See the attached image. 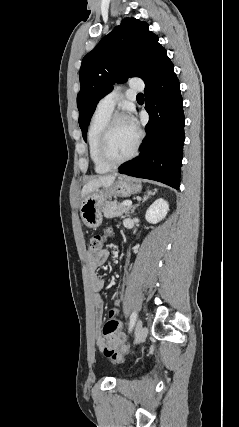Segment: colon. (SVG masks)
Returning a JSON list of instances; mask_svg holds the SVG:
<instances>
[{
    "mask_svg": "<svg viewBox=\"0 0 239 427\" xmlns=\"http://www.w3.org/2000/svg\"><path fill=\"white\" fill-rule=\"evenodd\" d=\"M106 238V235H95L91 237L88 244V253L90 256L96 255L102 248L103 242ZM124 293L121 292L120 287L114 288L113 299L115 301H123ZM115 305L118 303L115 302ZM103 337L105 339V346L103 348V353L105 356L113 359H118L120 351L123 349V340L124 335L120 331L119 323L115 319V312L112 311L109 315V318L103 326Z\"/></svg>",
    "mask_w": 239,
    "mask_h": 427,
    "instance_id": "5ec220e1",
    "label": "colon"
}]
</instances>
